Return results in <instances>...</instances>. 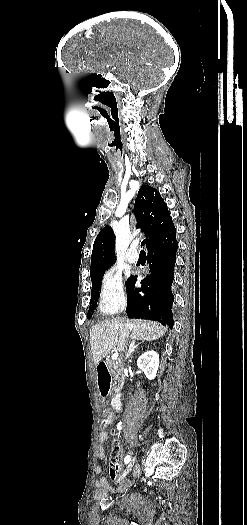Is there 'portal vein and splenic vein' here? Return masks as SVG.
Listing matches in <instances>:
<instances>
[{
	"label": "portal vein and splenic vein",
	"instance_id": "portal-vein-and-splenic-vein-1",
	"mask_svg": "<svg viewBox=\"0 0 247 525\" xmlns=\"http://www.w3.org/2000/svg\"><path fill=\"white\" fill-rule=\"evenodd\" d=\"M117 358H118V352H113V354H111V359L116 360Z\"/></svg>",
	"mask_w": 247,
	"mask_h": 525
}]
</instances>
